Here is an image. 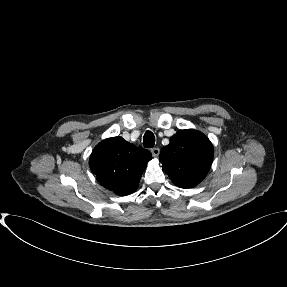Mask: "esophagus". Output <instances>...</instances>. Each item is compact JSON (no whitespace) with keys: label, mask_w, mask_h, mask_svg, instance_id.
Wrapping results in <instances>:
<instances>
[{"label":"esophagus","mask_w":287,"mask_h":287,"mask_svg":"<svg viewBox=\"0 0 287 287\" xmlns=\"http://www.w3.org/2000/svg\"><path fill=\"white\" fill-rule=\"evenodd\" d=\"M151 152H152V155H153V157H158L159 156V153H160V149L159 148H157V147H155V148H152L151 149Z\"/></svg>","instance_id":"34e87169"}]
</instances>
